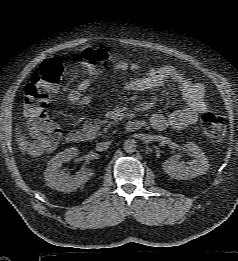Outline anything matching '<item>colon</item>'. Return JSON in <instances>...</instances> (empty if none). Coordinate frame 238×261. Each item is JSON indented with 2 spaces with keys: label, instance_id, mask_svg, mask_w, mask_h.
Here are the masks:
<instances>
[{
  "label": "colon",
  "instance_id": "5ec220e1",
  "mask_svg": "<svg viewBox=\"0 0 238 261\" xmlns=\"http://www.w3.org/2000/svg\"><path fill=\"white\" fill-rule=\"evenodd\" d=\"M82 60L91 72H98L110 60V53L103 47L87 48ZM63 66L55 59H47L32 74L24 89V112L33 140L24 142V148L31 153L53 149L59 142L61 130L46 112L48 94L56 89L61 80ZM226 116L216 110L202 115L201 127L212 142H219L226 132Z\"/></svg>",
  "mask_w": 238,
  "mask_h": 261
}]
</instances>
